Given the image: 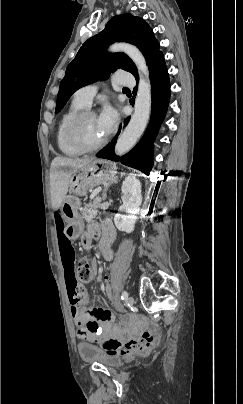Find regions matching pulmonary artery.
I'll return each instance as SVG.
<instances>
[{
  "mask_svg": "<svg viewBox=\"0 0 243 404\" xmlns=\"http://www.w3.org/2000/svg\"><path fill=\"white\" fill-rule=\"evenodd\" d=\"M114 85H120L118 82H113ZM102 82H95L91 84L84 85L78 90V95L75 94V97L79 99L85 106H89L93 97L98 92V89Z\"/></svg>",
  "mask_w": 243,
  "mask_h": 404,
  "instance_id": "pulmonary-artery-1",
  "label": "pulmonary artery"
}]
</instances>
